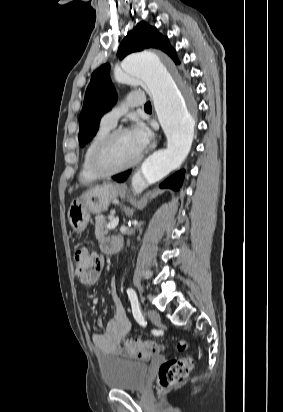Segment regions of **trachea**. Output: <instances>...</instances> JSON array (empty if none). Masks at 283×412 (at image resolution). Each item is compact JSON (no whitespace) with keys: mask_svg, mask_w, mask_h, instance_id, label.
Masks as SVG:
<instances>
[{"mask_svg":"<svg viewBox=\"0 0 283 412\" xmlns=\"http://www.w3.org/2000/svg\"><path fill=\"white\" fill-rule=\"evenodd\" d=\"M145 109H150L151 108V103L147 102L144 106Z\"/></svg>","mask_w":283,"mask_h":412,"instance_id":"trachea-1","label":"trachea"}]
</instances>
